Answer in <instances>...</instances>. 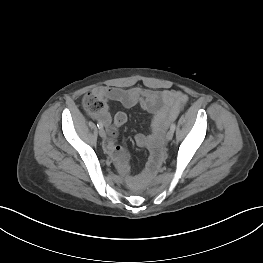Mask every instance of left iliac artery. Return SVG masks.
I'll return each mask as SVG.
<instances>
[{"label": "left iliac artery", "mask_w": 263, "mask_h": 263, "mask_svg": "<svg viewBox=\"0 0 263 263\" xmlns=\"http://www.w3.org/2000/svg\"><path fill=\"white\" fill-rule=\"evenodd\" d=\"M175 128H176V124H175V123H173V124L171 125V127H170V130L174 131V130H175Z\"/></svg>", "instance_id": "1"}]
</instances>
